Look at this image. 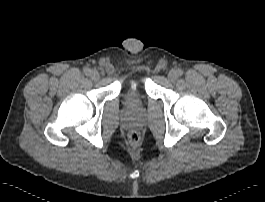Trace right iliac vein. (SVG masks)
I'll use <instances>...</instances> for the list:
<instances>
[{
    "instance_id": "63e3f726",
    "label": "right iliac vein",
    "mask_w": 265,
    "mask_h": 202,
    "mask_svg": "<svg viewBox=\"0 0 265 202\" xmlns=\"http://www.w3.org/2000/svg\"><path fill=\"white\" fill-rule=\"evenodd\" d=\"M90 77L93 80H98L100 78V75H99L98 71L92 70L91 73H90Z\"/></svg>"
}]
</instances>
